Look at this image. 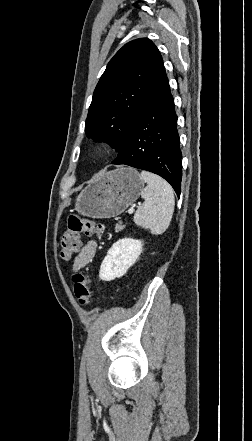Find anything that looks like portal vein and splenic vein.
<instances>
[{"label": "portal vein and splenic vein", "mask_w": 252, "mask_h": 441, "mask_svg": "<svg viewBox=\"0 0 252 441\" xmlns=\"http://www.w3.org/2000/svg\"><path fill=\"white\" fill-rule=\"evenodd\" d=\"M133 212H134V209L133 208H130L129 210H128V214H133Z\"/></svg>", "instance_id": "obj_1"}]
</instances>
